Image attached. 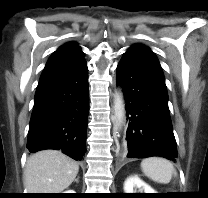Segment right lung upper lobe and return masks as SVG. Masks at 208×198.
Returning <instances> with one entry per match:
<instances>
[{"mask_svg":"<svg viewBox=\"0 0 208 198\" xmlns=\"http://www.w3.org/2000/svg\"><path fill=\"white\" fill-rule=\"evenodd\" d=\"M85 62L80 47L74 42L66 43L51 55L39 83L64 76L76 70Z\"/></svg>","mask_w":208,"mask_h":198,"instance_id":"right-lung-upper-lobe-1","label":"right lung upper lobe"}]
</instances>
